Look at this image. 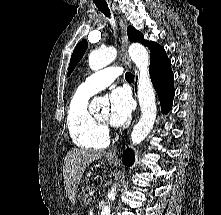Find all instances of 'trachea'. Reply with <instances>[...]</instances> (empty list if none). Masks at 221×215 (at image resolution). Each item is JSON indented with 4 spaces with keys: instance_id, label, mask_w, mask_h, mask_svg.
<instances>
[{
    "instance_id": "trachea-1",
    "label": "trachea",
    "mask_w": 221,
    "mask_h": 215,
    "mask_svg": "<svg viewBox=\"0 0 221 215\" xmlns=\"http://www.w3.org/2000/svg\"><path fill=\"white\" fill-rule=\"evenodd\" d=\"M96 7L106 16V17H110L111 13H110V9L108 7L107 4H98L96 3ZM125 79L128 81H132L134 80V76L133 74H131L130 72H127L125 74Z\"/></svg>"
}]
</instances>
